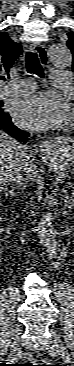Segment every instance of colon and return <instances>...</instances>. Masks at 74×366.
<instances>
[{
	"label": "colon",
	"mask_w": 74,
	"mask_h": 366,
	"mask_svg": "<svg viewBox=\"0 0 74 366\" xmlns=\"http://www.w3.org/2000/svg\"><path fill=\"white\" fill-rule=\"evenodd\" d=\"M25 366H53L45 361H34L32 364H25Z\"/></svg>",
	"instance_id": "colon-1"
}]
</instances>
